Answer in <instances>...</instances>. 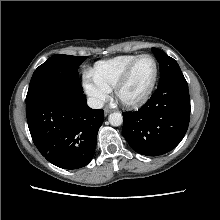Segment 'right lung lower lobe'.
Here are the masks:
<instances>
[{
  "mask_svg": "<svg viewBox=\"0 0 220 220\" xmlns=\"http://www.w3.org/2000/svg\"><path fill=\"white\" fill-rule=\"evenodd\" d=\"M26 114L33 142L49 162L77 169L92 160L104 111L91 109L83 92L27 104Z\"/></svg>",
  "mask_w": 220,
  "mask_h": 220,
  "instance_id": "right-lung-lower-lobe-1",
  "label": "right lung lower lobe"
}]
</instances>
